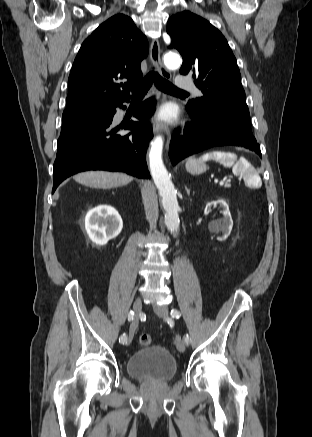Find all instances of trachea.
Instances as JSON below:
<instances>
[{"instance_id":"3493384b","label":"trachea","mask_w":312,"mask_h":437,"mask_svg":"<svg viewBox=\"0 0 312 437\" xmlns=\"http://www.w3.org/2000/svg\"><path fill=\"white\" fill-rule=\"evenodd\" d=\"M153 82L157 88L163 92L188 94L186 91L178 89L171 82L162 78L158 72L150 71L144 79L133 88V96L138 97L145 95Z\"/></svg>"}]
</instances>
